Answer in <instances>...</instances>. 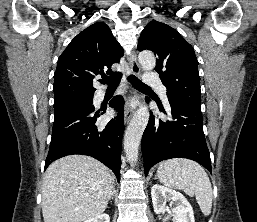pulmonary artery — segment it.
Masks as SVG:
<instances>
[{"label": "pulmonary artery", "mask_w": 257, "mask_h": 222, "mask_svg": "<svg viewBox=\"0 0 257 222\" xmlns=\"http://www.w3.org/2000/svg\"><path fill=\"white\" fill-rule=\"evenodd\" d=\"M144 82L149 86L157 87L160 91V94L164 98L165 102L168 104V100L166 97V88L162 84V82L160 81V79L158 78L157 75H155L154 73H151V72L146 73L144 75ZM103 96H104V91H98L96 93L97 99H101Z\"/></svg>", "instance_id": "1"}]
</instances>
